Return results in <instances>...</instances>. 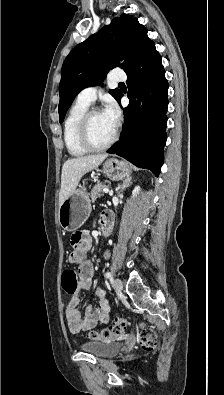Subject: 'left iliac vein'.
Instances as JSON below:
<instances>
[{
	"mask_svg": "<svg viewBox=\"0 0 224 395\" xmlns=\"http://www.w3.org/2000/svg\"><path fill=\"white\" fill-rule=\"evenodd\" d=\"M113 285L118 292H121L123 290V282L120 279H115Z\"/></svg>",
	"mask_w": 224,
	"mask_h": 395,
	"instance_id": "4c4485c4",
	"label": "left iliac vein"
}]
</instances>
